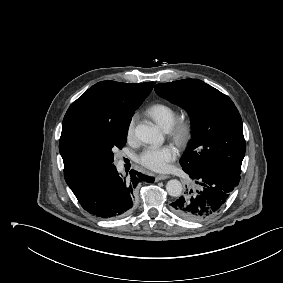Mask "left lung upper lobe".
<instances>
[{"label":"left lung upper lobe","mask_w":283,"mask_h":283,"mask_svg":"<svg viewBox=\"0 0 283 283\" xmlns=\"http://www.w3.org/2000/svg\"><path fill=\"white\" fill-rule=\"evenodd\" d=\"M156 93L185 109L192 122V140L180 159L183 170L225 169L241 173L245 155L241 116L232 100L198 79L155 86Z\"/></svg>","instance_id":"left-lung-upper-lobe-1"}]
</instances>
